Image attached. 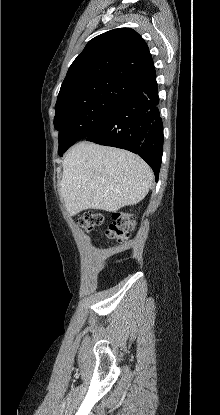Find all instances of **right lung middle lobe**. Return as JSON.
<instances>
[{
  "label": "right lung middle lobe",
  "mask_w": 220,
  "mask_h": 415,
  "mask_svg": "<svg viewBox=\"0 0 220 415\" xmlns=\"http://www.w3.org/2000/svg\"><path fill=\"white\" fill-rule=\"evenodd\" d=\"M136 88L118 78H100L60 91L54 117V126L59 131L58 151L97 131L110 110Z\"/></svg>",
  "instance_id": "dd1d6c3e"
}]
</instances>
